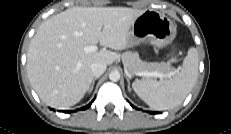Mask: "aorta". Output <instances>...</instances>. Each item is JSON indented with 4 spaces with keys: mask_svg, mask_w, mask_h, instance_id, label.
<instances>
[{
    "mask_svg": "<svg viewBox=\"0 0 231 134\" xmlns=\"http://www.w3.org/2000/svg\"><path fill=\"white\" fill-rule=\"evenodd\" d=\"M109 79L113 82H117L120 79V73L118 71H112L109 74Z\"/></svg>",
    "mask_w": 231,
    "mask_h": 134,
    "instance_id": "1",
    "label": "aorta"
}]
</instances>
